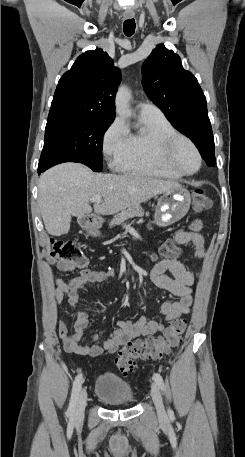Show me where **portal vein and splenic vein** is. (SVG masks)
I'll return each instance as SVG.
<instances>
[{"label": "portal vein and splenic vein", "mask_w": 245, "mask_h": 457, "mask_svg": "<svg viewBox=\"0 0 245 457\" xmlns=\"http://www.w3.org/2000/svg\"><path fill=\"white\" fill-rule=\"evenodd\" d=\"M102 196L100 194H97V196H93V198H90V200H93V202H101Z\"/></svg>", "instance_id": "1"}]
</instances>
